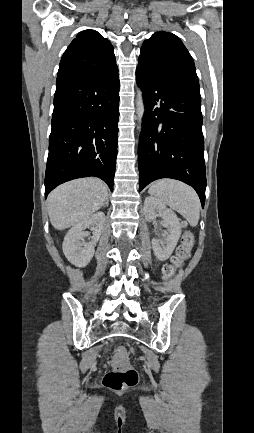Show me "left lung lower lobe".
I'll return each mask as SVG.
<instances>
[{"label": "left lung lower lobe", "instance_id": "obj_1", "mask_svg": "<svg viewBox=\"0 0 254 433\" xmlns=\"http://www.w3.org/2000/svg\"><path fill=\"white\" fill-rule=\"evenodd\" d=\"M136 82L145 113L138 147L139 191L160 178L192 186L202 207L206 172L198 87L161 76L138 63Z\"/></svg>", "mask_w": 254, "mask_h": 433}]
</instances>
